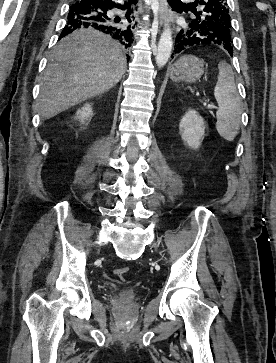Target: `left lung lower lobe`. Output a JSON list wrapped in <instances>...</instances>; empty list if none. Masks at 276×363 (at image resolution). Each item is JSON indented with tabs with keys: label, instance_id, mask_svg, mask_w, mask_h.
Returning <instances> with one entry per match:
<instances>
[{
	"label": "left lung lower lobe",
	"instance_id": "0a47b994",
	"mask_svg": "<svg viewBox=\"0 0 276 363\" xmlns=\"http://www.w3.org/2000/svg\"><path fill=\"white\" fill-rule=\"evenodd\" d=\"M189 27L191 28L190 30H188L186 33H183L184 31L181 30L178 36L176 37L175 43L177 44L175 46V50L174 53L172 54V57L174 54L179 53L180 51L185 50L191 46L210 44L216 42V40L214 41L215 35L211 33L209 30L207 29L203 30L201 29L200 26H194L191 24L189 25ZM224 48L232 56L233 49H230L229 47L226 48L225 46Z\"/></svg>",
	"mask_w": 276,
	"mask_h": 363
}]
</instances>
